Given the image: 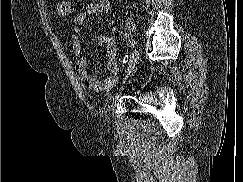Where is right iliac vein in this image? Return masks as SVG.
<instances>
[{"mask_svg": "<svg viewBox=\"0 0 243 182\" xmlns=\"http://www.w3.org/2000/svg\"><path fill=\"white\" fill-rule=\"evenodd\" d=\"M139 59V52L137 50H134L130 56L129 59V66H128V72L124 78V82L127 80V78L129 77V75L131 74V72L133 71L137 61Z\"/></svg>", "mask_w": 243, "mask_h": 182, "instance_id": "63e3f726", "label": "right iliac vein"}]
</instances>
